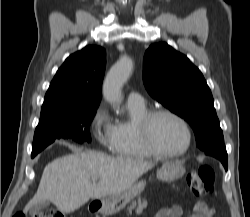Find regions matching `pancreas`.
<instances>
[{"instance_id":"1","label":"pancreas","mask_w":250,"mask_h":217,"mask_svg":"<svg viewBox=\"0 0 250 217\" xmlns=\"http://www.w3.org/2000/svg\"><path fill=\"white\" fill-rule=\"evenodd\" d=\"M147 207V202L145 200L141 201L140 197L138 198L137 202L133 201L131 205L128 207V211L132 209H136L137 212L143 211Z\"/></svg>"}]
</instances>
